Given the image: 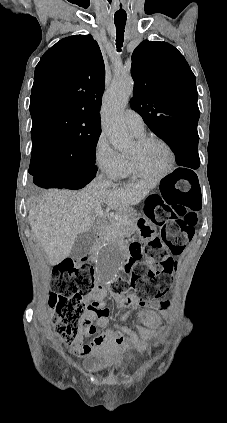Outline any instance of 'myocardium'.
I'll use <instances>...</instances> for the list:
<instances>
[{
  "instance_id": "myocardium-1",
  "label": "myocardium",
  "mask_w": 227,
  "mask_h": 423,
  "mask_svg": "<svg viewBox=\"0 0 227 423\" xmlns=\"http://www.w3.org/2000/svg\"><path fill=\"white\" fill-rule=\"evenodd\" d=\"M154 141L161 144L166 149L169 156L167 166L162 172L158 174H150L143 171L138 164L136 155L134 153H128V159H129L132 174L148 181H158V180L164 179L165 177H167L173 172L176 165V154L174 149L172 148V146L166 139L158 135H155V134L143 135L135 141V146L137 148H141Z\"/></svg>"
}]
</instances>
